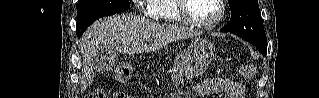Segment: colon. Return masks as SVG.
<instances>
[{
  "mask_svg": "<svg viewBox=\"0 0 319 98\" xmlns=\"http://www.w3.org/2000/svg\"><path fill=\"white\" fill-rule=\"evenodd\" d=\"M130 75V67L126 64H122L115 70L114 77L119 82H126L129 79ZM88 98H106V94L103 90L96 89L89 94ZM115 98H128V95L125 93H116Z\"/></svg>",
  "mask_w": 319,
  "mask_h": 98,
  "instance_id": "obj_1",
  "label": "colon"
}]
</instances>
